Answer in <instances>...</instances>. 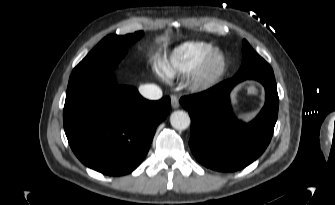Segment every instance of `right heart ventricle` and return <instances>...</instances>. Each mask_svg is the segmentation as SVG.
Masks as SVG:
<instances>
[{
  "instance_id": "right-heart-ventricle-1",
  "label": "right heart ventricle",
  "mask_w": 335,
  "mask_h": 205,
  "mask_svg": "<svg viewBox=\"0 0 335 205\" xmlns=\"http://www.w3.org/2000/svg\"><path fill=\"white\" fill-rule=\"evenodd\" d=\"M214 49V45L208 42H185L172 51L164 65V70L171 76L190 74Z\"/></svg>"
}]
</instances>
